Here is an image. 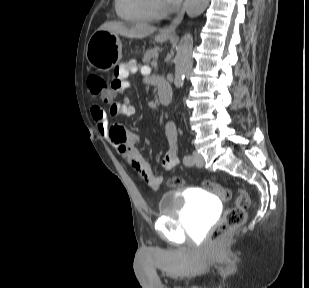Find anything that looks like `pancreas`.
I'll use <instances>...</instances> for the list:
<instances>
[{
  "instance_id": "1",
  "label": "pancreas",
  "mask_w": 309,
  "mask_h": 288,
  "mask_svg": "<svg viewBox=\"0 0 309 288\" xmlns=\"http://www.w3.org/2000/svg\"><path fill=\"white\" fill-rule=\"evenodd\" d=\"M158 51H159L158 47H155L153 49L146 51L143 58H142L143 62L149 63L151 60H152V62L156 61L157 57H158Z\"/></svg>"
}]
</instances>
